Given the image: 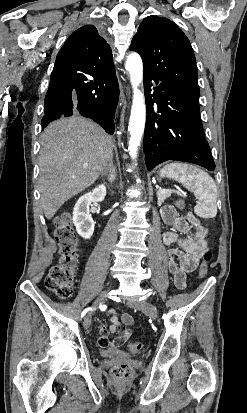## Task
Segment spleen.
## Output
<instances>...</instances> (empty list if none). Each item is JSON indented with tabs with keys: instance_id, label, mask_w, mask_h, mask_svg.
<instances>
[{
	"instance_id": "spleen-1",
	"label": "spleen",
	"mask_w": 247,
	"mask_h": 413,
	"mask_svg": "<svg viewBox=\"0 0 247 413\" xmlns=\"http://www.w3.org/2000/svg\"><path fill=\"white\" fill-rule=\"evenodd\" d=\"M172 164H176V170H173ZM159 176H169V178L182 182L183 186L192 190L196 198L200 200V204L195 207L196 211L203 209L206 217H216L217 188L208 172L197 168V166H192V164H187V162H170L161 168Z\"/></svg>"
}]
</instances>
